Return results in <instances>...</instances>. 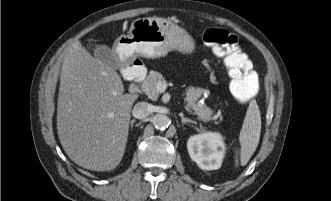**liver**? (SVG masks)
Wrapping results in <instances>:
<instances>
[{
  "label": "liver",
  "instance_id": "liver-1",
  "mask_svg": "<svg viewBox=\"0 0 331 201\" xmlns=\"http://www.w3.org/2000/svg\"><path fill=\"white\" fill-rule=\"evenodd\" d=\"M119 74L80 44L63 59L57 104V131L77 165L110 171L121 162L137 94H123Z\"/></svg>",
  "mask_w": 331,
  "mask_h": 201
}]
</instances>
